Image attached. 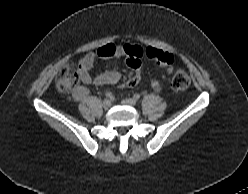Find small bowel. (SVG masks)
<instances>
[{"mask_svg":"<svg viewBox=\"0 0 248 194\" xmlns=\"http://www.w3.org/2000/svg\"><path fill=\"white\" fill-rule=\"evenodd\" d=\"M156 51L157 49L152 47L144 49L137 44H106L100 47L96 52H90L79 60L78 67L80 79L84 85L104 86L116 84L121 78V73L117 70L107 71L97 76H92L90 74V70L98 59L125 57L128 66L135 72L136 70L140 71V58L146 56L155 59L154 52ZM173 70V66L170 65L167 67L166 73L170 75ZM137 84L138 83L133 82L131 78L128 80V86H126V88H133ZM84 85H79L73 89L72 95L75 100L82 101L88 96L89 90ZM151 89L157 93L161 92V82L156 79L153 80L151 82Z\"/></svg>","mask_w":248,"mask_h":194,"instance_id":"small-bowel-1","label":"small bowel"}]
</instances>
